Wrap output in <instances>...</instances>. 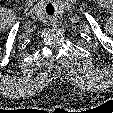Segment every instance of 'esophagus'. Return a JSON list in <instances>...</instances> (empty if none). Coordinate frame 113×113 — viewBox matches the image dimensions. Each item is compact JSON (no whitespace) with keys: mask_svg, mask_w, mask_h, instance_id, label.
Wrapping results in <instances>:
<instances>
[{"mask_svg":"<svg viewBox=\"0 0 113 113\" xmlns=\"http://www.w3.org/2000/svg\"><path fill=\"white\" fill-rule=\"evenodd\" d=\"M50 25H52L53 27L56 26V19L55 18L50 19Z\"/></svg>","mask_w":113,"mask_h":113,"instance_id":"34e87169","label":"esophagus"}]
</instances>
